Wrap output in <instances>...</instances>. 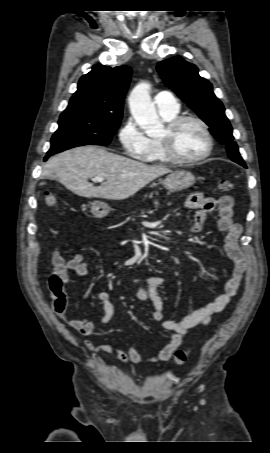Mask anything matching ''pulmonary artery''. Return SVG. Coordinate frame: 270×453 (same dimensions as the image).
<instances>
[{
  "mask_svg": "<svg viewBox=\"0 0 270 453\" xmlns=\"http://www.w3.org/2000/svg\"><path fill=\"white\" fill-rule=\"evenodd\" d=\"M154 102L160 114L172 115L179 111V104L173 93L161 91L154 96Z\"/></svg>",
  "mask_w": 270,
  "mask_h": 453,
  "instance_id": "obj_1",
  "label": "pulmonary artery"
}]
</instances>
